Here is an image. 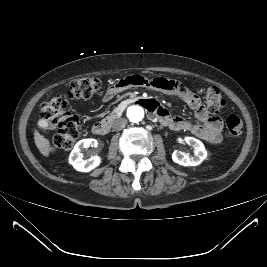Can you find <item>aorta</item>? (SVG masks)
Instances as JSON below:
<instances>
[{"label":"aorta","mask_w":267,"mask_h":267,"mask_svg":"<svg viewBox=\"0 0 267 267\" xmlns=\"http://www.w3.org/2000/svg\"><path fill=\"white\" fill-rule=\"evenodd\" d=\"M127 117L130 122L138 123L144 118V110L137 105L130 106L127 110Z\"/></svg>","instance_id":"obj_1"}]
</instances>
